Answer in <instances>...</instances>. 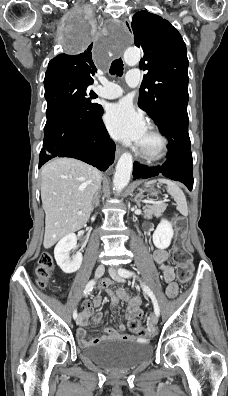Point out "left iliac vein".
<instances>
[{"label":"left iliac vein","instance_id":"left-iliac-vein-1","mask_svg":"<svg viewBox=\"0 0 228 396\" xmlns=\"http://www.w3.org/2000/svg\"><path fill=\"white\" fill-rule=\"evenodd\" d=\"M109 274L115 281L124 282V279L119 275V273L115 268L113 267L109 268ZM150 321L152 325H157L158 316L155 313H152Z\"/></svg>","mask_w":228,"mask_h":396}]
</instances>
